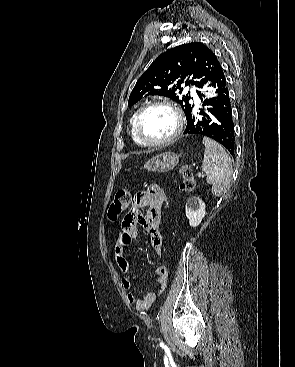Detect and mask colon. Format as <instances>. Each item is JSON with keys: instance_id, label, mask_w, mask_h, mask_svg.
Wrapping results in <instances>:
<instances>
[{"instance_id": "5ec220e1", "label": "colon", "mask_w": 295, "mask_h": 367, "mask_svg": "<svg viewBox=\"0 0 295 367\" xmlns=\"http://www.w3.org/2000/svg\"><path fill=\"white\" fill-rule=\"evenodd\" d=\"M182 175V182L180 183V189L183 191H192L195 186L194 176L192 169L188 165H183L180 169ZM131 201V193L129 188L120 189L116 192L114 200L109 208V217L111 220H116L124 210H126ZM170 196H163V210L168 212L170 210L169 207ZM126 243H128V239L126 238Z\"/></svg>"}]
</instances>
